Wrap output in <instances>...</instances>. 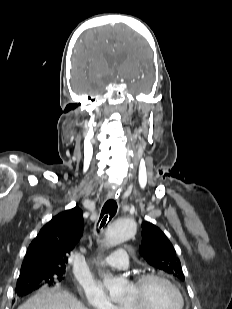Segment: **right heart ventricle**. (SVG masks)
<instances>
[{
	"label": "right heart ventricle",
	"mask_w": 232,
	"mask_h": 309,
	"mask_svg": "<svg viewBox=\"0 0 232 309\" xmlns=\"http://www.w3.org/2000/svg\"><path fill=\"white\" fill-rule=\"evenodd\" d=\"M120 309H124L123 306H120Z\"/></svg>",
	"instance_id": "1"
}]
</instances>
